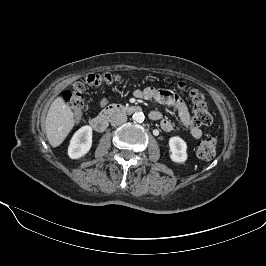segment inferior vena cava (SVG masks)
Returning <instances> with one entry per match:
<instances>
[{
  "label": "inferior vena cava",
  "mask_w": 266,
  "mask_h": 266,
  "mask_svg": "<svg viewBox=\"0 0 266 266\" xmlns=\"http://www.w3.org/2000/svg\"><path fill=\"white\" fill-rule=\"evenodd\" d=\"M126 121H127V116L124 113H116L110 119V123L112 126L123 124Z\"/></svg>",
  "instance_id": "obj_1"
}]
</instances>
